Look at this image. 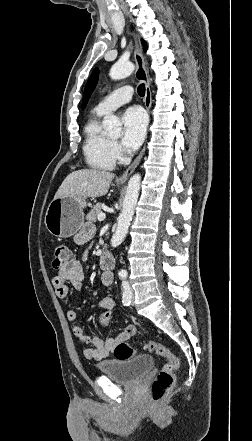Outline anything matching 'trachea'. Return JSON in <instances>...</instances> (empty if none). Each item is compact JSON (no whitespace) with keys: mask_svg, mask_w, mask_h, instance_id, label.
Segmentation results:
<instances>
[{"mask_svg":"<svg viewBox=\"0 0 252 441\" xmlns=\"http://www.w3.org/2000/svg\"><path fill=\"white\" fill-rule=\"evenodd\" d=\"M138 94H139L140 96H144V95H145V85H144V84H141V85L138 87Z\"/></svg>","mask_w":252,"mask_h":441,"instance_id":"trachea-1","label":"trachea"}]
</instances>
